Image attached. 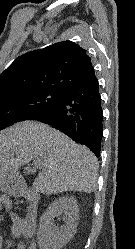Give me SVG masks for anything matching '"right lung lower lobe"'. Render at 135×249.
I'll return each instance as SVG.
<instances>
[{"instance_id":"right-lung-lower-lobe-1","label":"right lung lower lobe","mask_w":135,"mask_h":249,"mask_svg":"<svg viewBox=\"0 0 135 249\" xmlns=\"http://www.w3.org/2000/svg\"><path fill=\"white\" fill-rule=\"evenodd\" d=\"M29 119L44 122L62 131L74 141L86 145L99 158L103 112L97 78L66 90L58 100Z\"/></svg>"}]
</instances>
